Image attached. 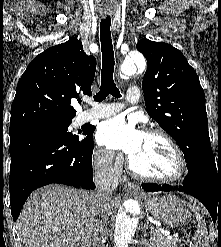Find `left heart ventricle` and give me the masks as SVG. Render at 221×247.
<instances>
[{
	"mask_svg": "<svg viewBox=\"0 0 221 247\" xmlns=\"http://www.w3.org/2000/svg\"><path fill=\"white\" fill-rule=\"evenodd\" d=\"M130 159L136 170L151 176L171 177L178 172L176 153L158 136L144 134Z\"/></svg>",
	"mask_w": 221,
	"mask_h": 247,
	"instance_id": "b2bd125f",
	"label": "left heart ventricle"
}]
</instances>
